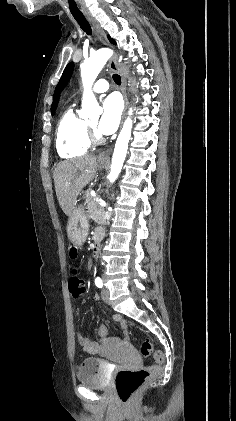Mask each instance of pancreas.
I'll list each match as a JSON object with an SVG mask.
<instances>
[{"label": "pancreas", "instance_id": "cf45deb5", "mask_svg": "<svg viewBox=\"0 0 236 421\" xmlns=\"http://www.w3.org/2000/svg\"><path fill=\"white\" fill-rule=\"evenodd\" d=\"M86 202L88 208V217H90L92 221H95V223H98V225H108L107 219H105L104 206H101L98 200H94L89 190L86 192Z\"/></svg>", "mask_w": 236, "mask_h": 421}]
</instances>
